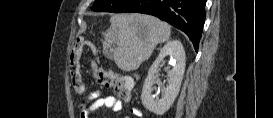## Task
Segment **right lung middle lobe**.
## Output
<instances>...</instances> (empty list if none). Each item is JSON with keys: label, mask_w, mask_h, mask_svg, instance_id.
<instances>
[{"label": "right lung middle lobe", "mask_w": 273, "mask_h": 118, "mask_svg": "<svg viewBox=\"0 0 273 118\" xmlns=\"http://www.w3.org/2000/svg\"><path fill=\"white\" fill-rule=\"evenodd\" d=\"M129 0H95L91 10L97 12H116Z\"/></svg>", "instance_id": "1"}]
</instances>
